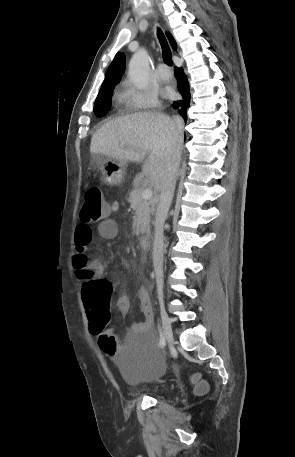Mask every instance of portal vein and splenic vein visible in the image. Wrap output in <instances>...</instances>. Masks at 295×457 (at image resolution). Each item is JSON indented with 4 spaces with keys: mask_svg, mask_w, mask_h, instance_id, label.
<instances>
[{
    "mask_svg": "<svg viewBox=\"0 0 295 457\" xmlns=\"http://www.w3.org/2000/svg\"><path fill=\"white\" fill-rule=\"evenodd\" d=\"M153 196V191L151 188H145L143 191H142V198L143 199H146V200H149L151 199Z\"/></svg>",
    "mask_w": 295,
    "mask_h": 457,
    "instance_id": "portal-vein-and-splenic-vein-1",
    "label": "portal vein and splenic vein"
}]
</instances>
